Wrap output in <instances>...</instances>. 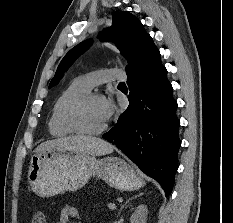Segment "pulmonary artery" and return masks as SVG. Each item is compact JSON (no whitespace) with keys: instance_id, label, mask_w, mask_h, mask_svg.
I'll use <instances>...</instances> for the list:
<instances>
[{"instance_id":"1","label":"pulmonary artery","mask_w":233,"mask_h":223,"mask_svg":"<svg viewBox=\"0 0 233 223\" xmlns=\"http://www.w3.org/2000/svg\"><path fill=\"white\" fill-rule=\"evenodd\" d=\"M126 75V70H95L80 76L77 80L83 87L90 92L94 87L101 85L107 81L115 79H123Z\"/></svg>"}]
</instances>
